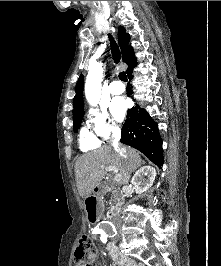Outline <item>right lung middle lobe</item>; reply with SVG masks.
Returning a JSON list of instances; mask_svg holds the SVG:
<instances>
[{"instance_id":"dd1d6c3e","label":"right lung middle lobe","mask_w":221,"mask_h":266,"mask_svg":"<svg viewBox=\"0 0 221 266\" xmlns=\"http://www.w3.org/2000/svg\"><path fill=\"white\" fill-rule=\"evenodd\" d=\"M83 116H84V113L73 116V127H74L75 132H77L78 128L80 127Z\"/></svg>"}]
</instances>
